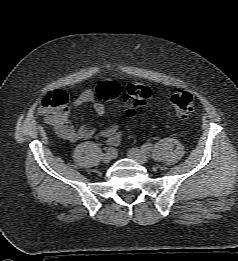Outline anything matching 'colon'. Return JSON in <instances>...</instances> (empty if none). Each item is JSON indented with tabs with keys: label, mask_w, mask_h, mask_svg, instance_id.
<instances>
[{
	"label": "colon",
	"mask_w": 238,
	"mask_h": 261,
	"mask_svg": "<svg viewBox=\"0 0 238 261\" xmlns=\"http://www.w3.org/2000/svg\"><path fill=\"white\" fill-rule=\"evenodd\" d=\"M96 95L99 99H116L122 95L126 106V115L133 117L136 110L144 105L151 96V89L142 82L129 84L122 93L121 86L115 81H106L96 88ZM171 105L176 114L182 118H188L194 109V97L188 91H177L171 96ZM68 96L63 91H53L46 94L40 106V113L47 121L54 125L68 116Z\"/></svg>",
	"instance_id": "5ec220e1"
}]
</instances>
